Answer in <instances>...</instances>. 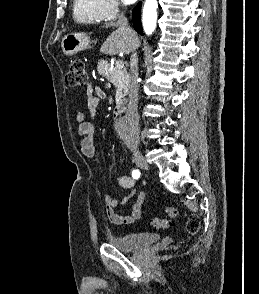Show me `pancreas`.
Here are the masks:
<instances>
[{"instance_id": "1", "label": "pancreas", "mask_w": 259, "mask_h": 294, "mask_svg": "<svg viewBox=\"0 0 259 294\" xmlns=\"http://www.w3.org/2000/svg\"><path fill=\"white\" fill-rule=\"evenodd\" d=\"M98 72L116 87V103L122 105L123 98L128 93L129 75L126 69L111 68L110 63L101 60L97 66Z\"/></svg>"}]
</instances>
